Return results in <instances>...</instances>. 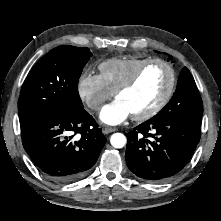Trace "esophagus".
<instances>
[{"mask_svg":"<svg viewBox=\"0 0 221 221\" xmlns=\"http://www.w3.org/2000/svg\"><path fill=\"white\" fill-rule=\"evenodd\" d=\"M115 131H117V128H113V127H107V128L103 129L104 134H109V133L115 132Z\"/></svg>","mask_w":221,"mask_h":221,"instance_id":"obj_1","label":"esophagus"}]
</instances>
